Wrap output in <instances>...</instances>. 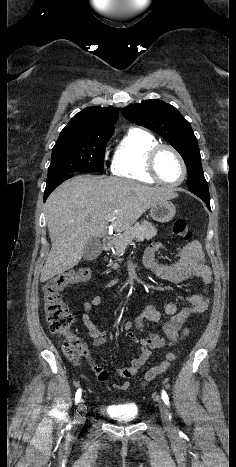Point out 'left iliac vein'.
I'll use <instances>...</instances> for the list:
<instances>
[{"label":"left iliac vein","mask_w":236,"mask_h":467,"mask_svg":"<svg viewBox=\"0 0 236 467\" xmlns=\"http://www.w3.org/2000/svg\"><path fill=\"white\" fill-rule=\"evenodd\" d=\"M159 410H160L162 422L166 426H170V416H169L168 409L166 405L164 404V402L161 400L159 401Z\"/></svg>","instance_id":"left-iliac-vein-1"}]
</instances>
